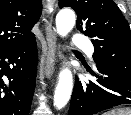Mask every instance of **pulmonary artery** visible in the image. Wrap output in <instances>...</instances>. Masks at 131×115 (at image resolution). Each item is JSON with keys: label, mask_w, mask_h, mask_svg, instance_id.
<instances>
[{"label": "pulmonary artery", "mask_w": 131, "mask_h": 115, "mask_svg": "<svg viewBox=\"0 0 131 115\" xmlns=\"http://www.w3.org/2000/svg\"><path fill=\"white\" fill-rule=\"evenodd\" d=\"M72 44L76 47L84 49L89 57L93 56L94 48L90 42V40L81 34H76L72 40Z\"/></svg>", "instance_id": "obj_1"}]
</instances>
